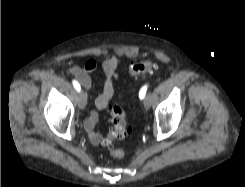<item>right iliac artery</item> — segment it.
Instances as JSON below:
<instances>
[{
	"mask_svg": "<svg viewBox=\"0 0 245 187\" xmlns=\"http://www.w3.org/2000/svg\"><path fill=\"white\" fill-rule=\"evenodd\" d=\"M74 88L79 92L81 90L80 84L76 81H72Z\"/></svg>",
	"mask_w": 245,
	"mask_h": 187,
	"instance_id": "1",
	"label": "right iliac artery"
}]
</instances>
